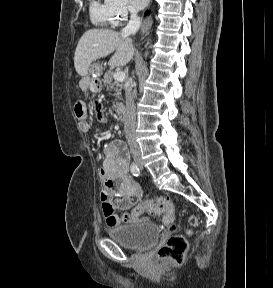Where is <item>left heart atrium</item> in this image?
Listing matches in <instances>:
<instances>
[{"label":"left heart atrium","instance_id":"39dd6f15","mask_svg":"<svg viewBox=\"0 0 273 288\" xmlns=\"http://www.w3.org/2000/svg\"><path fill=\"white\" fill-rule=\"evenodd\" d=\"M148 2L149 0H132L133 5L138 9L144 8Z\"/></svg>","mask_w":273,"mask_h":288}]
</instances>
